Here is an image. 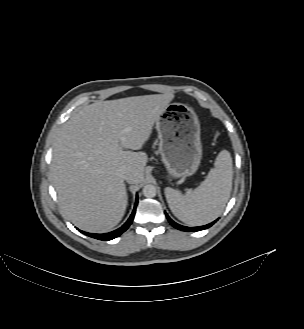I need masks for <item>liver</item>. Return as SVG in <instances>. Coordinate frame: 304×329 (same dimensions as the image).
<instances>
[{"label":"liver","mask_w":304,"mask_h":329,"mask_svg":"<svg viewBox=\"0 0 304 329\" xmlns=\"http://www.w3.org/2000/svg\"><path fill=\"white\" fill-rule=\"evenodd\" d=\"M173 98L168 93L98 101L62 125L51 175L61 209L78 228L105 233L121 221L128 203L121 173L130 172V184L143 181L148 158L138 150Z\"/></svg>","instance_id":"6515ba94"}]
</instances>
